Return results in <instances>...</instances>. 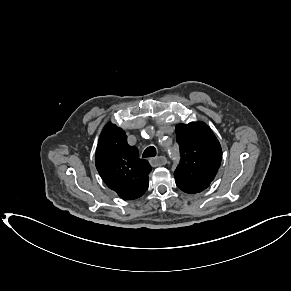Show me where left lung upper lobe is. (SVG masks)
Instances as JSON below:
<instances>
[{"instance_id":"left-lung-upper-lobe-1","label":"left lung upper lobe","mask_w":291,"mask_h":291,"mask_svg":"<svg viewBox=\"0 0 291 291\" xmlns=\"http://www.w3.org/2000/svg\"><path fill=\"white\" fill-rule=\"evenodd\" d=\"M181 159L174 177L185 193L208 188L221 164L222 150L212 130L203 122L176 125Z\"/></svg>"}]
</instances>
